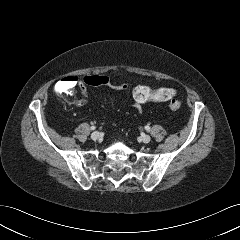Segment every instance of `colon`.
<instances>
[{"label":"colon","mask_w":240,"mask_h":240,"mask_svg":"<svg viewBox=\"0 0 240 240\" xmlns=\"http://www.w3.org/2000/svg\"><path fill=\"white\" fill-rule=\"evenodd\" d=\"M83 84L88 86H110L119 90H126L127 86L116 82L105 75H90L83 78ZM76 79L69 77L62 79L57 84V91L69 93L75 86ZM133 99L139 104L148 102H167L171 110H178L182 106V100L175 97V91L170 87L151 88L147 85H137L132 91Z\"/></svg>","instance_id":"1"}]
</instances>
